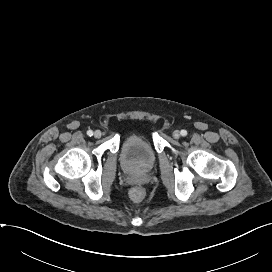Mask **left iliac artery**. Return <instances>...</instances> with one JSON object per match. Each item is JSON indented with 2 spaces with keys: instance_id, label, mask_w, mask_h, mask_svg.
I'll list each match as a JSON object with an SVG mask.
<instances>
[{
  "instance_id": "1",
  "label": "left iliac artery",
  "mask_w": 272,
  "mask_h": 272,
  "mask_svg": "<svg viewBox=\"0 0 272 272\" xmlns=\"http://www.w3.org/2000/svg\"><path fill=\"white\" fill-rule=\"evenodd\" d=\"M180 134H181L182 136H186V135H187V131H186V130H181Z\"/></svg>"
}]
</instances>
